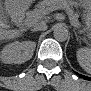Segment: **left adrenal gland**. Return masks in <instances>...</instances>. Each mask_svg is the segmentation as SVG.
Here are the masks:
<instances>
[{
  "label": "left adrenal gland",
  "instance_id": "left-adrenal-gland-1",
  "mask_svg": "<svg viewBox=\"0 0 91 91\" xmlns=\"http://www.w3.org/2000/svg\"><path fill=\"white\" fill-rule=\"evenodd\" d=\"M74 33H75V36H76V39L78 40V36H77V33L74 31Z\"/></svg>",
  "mask_w": 91,
  "mask_h": 91
}]
</instances>
